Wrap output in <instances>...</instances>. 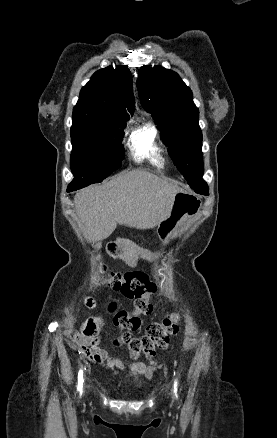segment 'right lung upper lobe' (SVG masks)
<instances>
[{"label":"right lung upper lobe","mask_w":277,"mask_h":438,"mask_svg":"<svg viewBox=\"0 0 277 438\" xmlns=\"http://www.w3.org/2000/svg\"><path fill=\"white\" fill-rule=\"evenodd\" d=\"M135 109L132 76L126 66L98 70L82 88L73 109V122L115 124L129 119Z\"/></svg>","instance_id":"obj_1"}]
</instances>
